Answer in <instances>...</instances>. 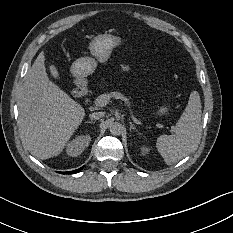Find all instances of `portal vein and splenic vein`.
<instances>
[{"label": "portal vein and splenic vein", "mask_w": 233, "mask_h": 233, "mask_svg": "<svg viewBox=\"0 0 233 233\" xmlns=\"http://www.w3.org/2000/svg\"><path fill=\"white\" fill-rule=\"evenodd\" d=\"M110 99L111 94H101L94 100V103L96 106L104 107L109 103Z\"/></svg>", "instance_id": "18ae733b"}]
</instances>
